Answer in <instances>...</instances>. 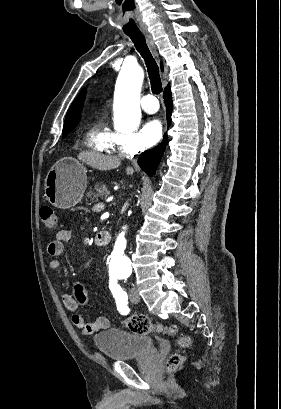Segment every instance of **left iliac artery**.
<instances>
[{
  "mask_svg": "<svg viewBox=\"0 0 281 409\" xmlns=\"http://www.w3.org/2000/svg\"><path fill=\"white\" fill-rule=\"evenodd\" d=\"M109 288L115 298L118 311L123 315H127L129 313L128 296L126 291L117 283V278L110 279Z\"/></svg>",
  "mask_w": 281,
  "mask_h": 409,
  "instance_id": "left-iliac-artery-1",
  "label": "left iliac artery"
}]
</instances>
